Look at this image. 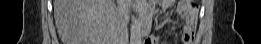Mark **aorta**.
<instances>
[{"label":"aorta","instance_id":"obj_1","mask_svg":"<svg viewBox=\"0 0 261 44\" xmlns=\"http://www.w3.org/2000/svg\"><path fill=\"white\" fill-rule=\"evenodd\" d=\"M130 40L132 44H139L141 42V25L137 17L133 18Z\"/></svg>","mask_w":261,"mask_h":44}]
</instances>
